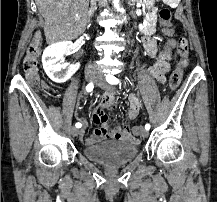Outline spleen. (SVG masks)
Returning <instances> with one entry per match:
<instances>
[{
  "instance_id": "3e777b00",
  "label": "spleen",
  "mask_w": 217,
  "mask_h": 202,
  "mask_svg": "<svg viewBox=\"0 0 217 202\" xmlns=\"http://www.w3.org/2000/svg\"><path fill=\"white\" fill-rule=\"evenodd\" d=\"M165 5H168V7H179L178 0H165Z\"/></svg>"
}]
</instances>
